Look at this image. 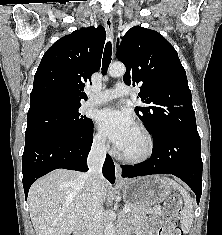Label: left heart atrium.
Instances as JSON below:
<instances>
[{"mask_svg": "<svg viewBox=\"0 0 222 235\" xmlns=\"http://www.w3.org/2000/svg\"><path fill=\"white\" fill-rule=\"evenodd\" d=\"M97 124L100 131L120 151L125 147L135 128L134 121L128 112L111 108L99 111Z\"/></svg>", "mask_w": 222, "mask_h": 235, "instance_id": "left-heart-atrium-1", "label": "left heart atrium"}]
</instances>
